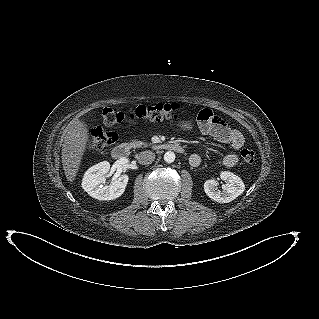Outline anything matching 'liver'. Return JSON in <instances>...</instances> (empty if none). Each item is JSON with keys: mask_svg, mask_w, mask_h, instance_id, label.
I'll list each match as a JSON object with an SVG mask.
<instances>
[{"mask_svg": "<svg viewBox=\"0 0 319 319\" xmlns=\"http://www.w3.org/2000/svg\"><path fill=\"white\" fill-rule=\"evenodd\" d=\"M89 139V130L82 120H72L62 134V165L68 181L73 182Z\"/></svg>", "mask_w": 319, "mask_h": 319, "instance_id": "1", "label": "liver"}]
</instances>
